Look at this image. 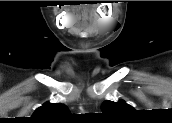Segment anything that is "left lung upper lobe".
Here are the masks:
<instances>
[{"instance_id": "1", "label": "left lung upper lobe", "mask_w": 172, "mask_h": 123, "mask_svg": "<svg viewBox=\"0 0 172 123\" xmlns=\"http://www.w3.org/2000/svg\"><path fill=\"white\" fill-rule=\"evenodd\" d=\"M101 108L102 112L108 115H123L134 110L133 107L124 100H119L118 102L106 100L103 102Z\"/></svg>"}]
</instances>
